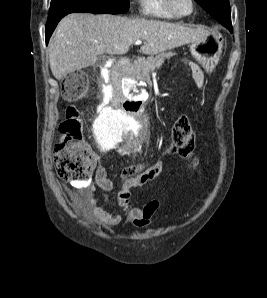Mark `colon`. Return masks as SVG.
<instances>
[{"label":"colon","instance_id":"colon-1","mask_svg":"<svg viewBox=\"0 0 267 298\" xmlns=\"http://www.w3.org/2000/svg\"><path fill=\"white\" fill-rule=\"evenodd\" d=\"M88 89L87 75L73 72L65 76L62 82V95L68 102L82 99ZM60 141L53 154V166L57 175L64 180L83 182L92 174L95 168L94 157L81 149L73 148L83 136V123L79 113L73 106H68L65 118L59 127ZM196 137L190 120L186 116L175 119L171 126L169 152H177L183 158L195 164ZM153 167L143 170L131 166L123 171L127 181L146 176Z\"/></svg>","mask_w":267,"mask_h":298}]
</instances>
